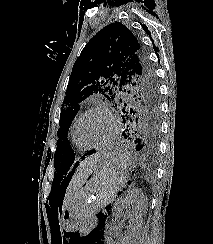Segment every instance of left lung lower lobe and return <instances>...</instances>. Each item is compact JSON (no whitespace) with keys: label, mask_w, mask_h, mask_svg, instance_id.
<instances>
[{"label":"left lung lower lobe","mask_w":213,"mask_h":244,"mask_svg":"<svg viewBox=\"0 0 213 244\" xmlns=\"http://www.w3.org/2000/svg\"><path fill=\"white\" fill-rule=\"evenodd\" d=\"M123 123L125 126L122 136L131 145L134 151L139 152L141 155L146 157H153L157 154V140L159 126L152 122L140 123L131 120L127 115L121 114ZM95 151L91 150L83 155L85 156L93 154ZM78 166V162L74 165L73 169Z\"/></svg>","instance_id":"0a47b994"}]
</instances>
